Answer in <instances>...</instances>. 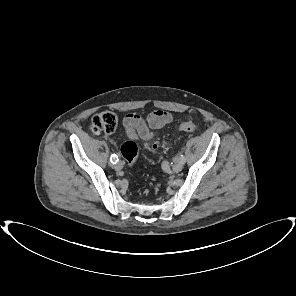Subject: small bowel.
<instances>
[{
    "mask_svg": "<svg viewBox=\"0 0 296 296\" xmlns=\"http://www.w3.org/2000/svg\"><path fill=\"white\" fill-rule=\"evenodd\" d=\"M173 121L171 113L156 110L149 114L146 120L138 114H128L124 119V128L128 137L132 139H149L154 134Z\"/></svg>",
    "mask_w": 296,
    "mask_h": 296,
    "instance_id": "c3829d8e",
    "label": "small bowel"
}]
</instances>
